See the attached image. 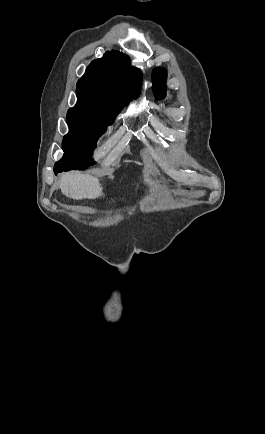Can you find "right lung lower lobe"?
<instances>
[{
    "mask_svg": "<svg viewBox=\"0 0 265 434\" xmlns=\"http://www.w3.org/2000/svg\"><path fill=\"white\" fill-rule=\"evenodd\" d=\"M62 171H66L64 168H57V169H54V173H55V175H57L58 173H60V172H62Z\"/></svg>",
    "mask_w": 265,
    "mask_h": 434,
    "instance_id": "right-lung-lower-lobe-1",
    "label": "right lung lower lobe"
}]
</instances>
